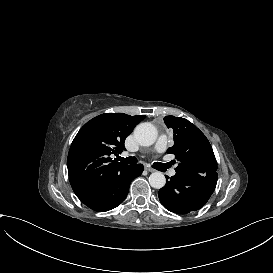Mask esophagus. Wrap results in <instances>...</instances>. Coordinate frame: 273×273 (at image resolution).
<instances>
[{
    "label": "esophagus",
    "instance_id": "esophagus-1",
    "mask_svg": "<svg viewBox=\"0 0 273 273\" xmlns=\"http://www.w3.org/2000/svg\"><path fill=\"white\" fill-rule=\"evenodd\" d=\"M145 170L148 172H155L156 170L150 167L145 166Z\"/></svg>",
    "mask_w": 273,
    "mask_h": 273
}]
</instances>
